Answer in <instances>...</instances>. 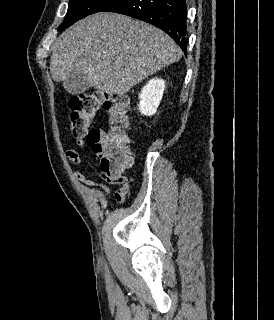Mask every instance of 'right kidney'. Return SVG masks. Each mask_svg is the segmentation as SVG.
<instances>
[{"label":"right kidney","mask_w":274,"mask_h":320,"mask_svg":"<svg viewBox=\"0 0 274 320\" xmlns=\"http://www.w3.org/2000/svg\"><path fill=\"white\" fill-rule=\"evenodd\" d=\"M165 90V82L161 78H154L149 80L143 86L139 94L138 108L143 116H153L156 114L157 108L162 100Z\"/></svg>","instance_id":"1"}]
</instances>
